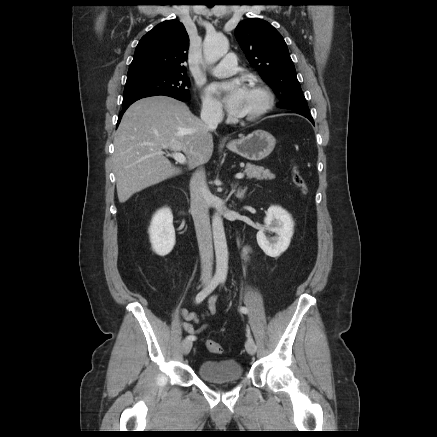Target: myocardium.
<instances>
[{"label":"myocardium","mask_w":437,"mask_h":437,"mask_svg":"<svg viewBox=\"0 0 437 437\" xmlns=\"http://www.w3.org/2000/svg\"><path fill=\"white\" fill-rule=\"evenodd\" d=\"M248 88L259 91L263 95L264 101L262 106L256 112L250 115L238 116L236 118L237 121H241V122L256 121L261 117H263L265 114H267L270 111V109L273 107L274 96L271 90L267 86L260 83H252L249 85Z\"/></svg>","instance_id":"myocardium-1"}]
</instances>
